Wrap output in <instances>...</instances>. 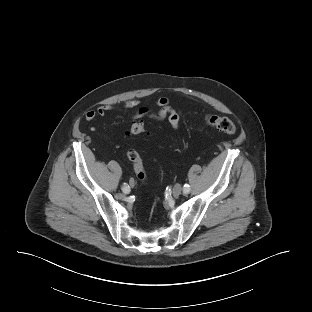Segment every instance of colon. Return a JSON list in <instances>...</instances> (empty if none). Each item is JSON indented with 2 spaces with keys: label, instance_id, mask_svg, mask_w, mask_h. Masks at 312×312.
<instances>
[{
  "label": "colon",
  "instance_id": "colon-1",
  "mask_svg": "<svg viewBox=\"0 0 312 312\" xmlns=\"http://www.w3.org/2000/svg\"><path fill=\"white\" fill-rule=\"evenodd\" d=\"M205 122L210 128L220 133L231 135L235 132L234 123L232 122V120H230L227 117L209 115L205 118ZM144 131H145V128L141 122H134L129 129V134L139 135L143 133ZM127 157L132 162L134 171L138 179H140L141 181L146 180V172L144 169L142 159L140 155L138 154V152L134 149H130L127 152Z\"/></svg>",
  "mask_w": 312,
  "mask_h": 312
}]
</instances>
